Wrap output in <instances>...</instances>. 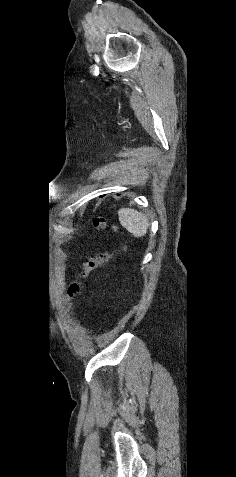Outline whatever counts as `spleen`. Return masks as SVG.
Segmentation results:
<instances>
[{"instance_id":"1","label":"spleen","mask_w":236,"mask_h":477,"mask_svg":"<svg viewBox=\"0 0 236 477\" xmlns=\"http://www.w3.org/2000/svg\"><path fill=\"white\" fill-rule=\"evenodd\" d=\"M121 225L135 237H142L147 233L149 222L147 217L134 209L121 208L118 210Z\"/></svg>"}]
</instances>
